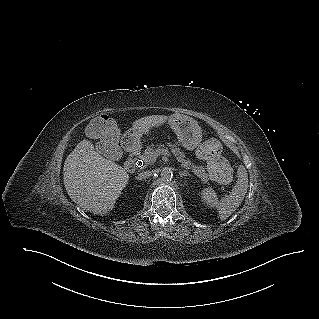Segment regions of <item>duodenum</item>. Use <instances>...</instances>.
Returning <instances> with one entry per match:
<instances>
[{
    "label": "duodenum",
    "instance_id": "1",
    "mask_svg": "<svg viewBox=\"0 0 319 319\" xmlns=\"http://www.w3.org/2000/svg\"><path fill=\"white\" fill-rule=\"evenodd\" d=\"M122 145L129 155L124 164V170L128 173H133L138 167L137 155L140 151L139 144L134 137L126 136L122 140Z\"/></svg>",
    "mask_w": 319,
    "mask_h": 319
}]
</instances>
